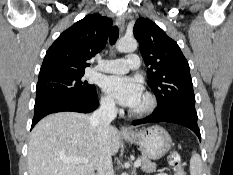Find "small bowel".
Here are the masks:
<instances>
[{"label":"small bowel","instance_id":"obj_1","mask_svg":"<svg viewBox=\"0 0 233 175\" xmlns=\"http://www.w3.org/2000/svg\"><path fill=\"white\" fill-rule=\"evenodd\" d=\"M156 175H168L167 173H159V174H156Z\"/></svg>","mask_w":233,"mask_h":175}]
</instances>
